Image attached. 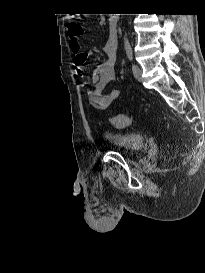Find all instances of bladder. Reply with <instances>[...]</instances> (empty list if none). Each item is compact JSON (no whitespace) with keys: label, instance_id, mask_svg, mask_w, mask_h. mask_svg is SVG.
I'll return each instance as SVG.
<instances>
[{"label":"bladder","instance_id":"obj_1","mask_svg":"<svg viewBox=\"0 0 205 273\" xmlns=\"http://www.w3.org/2000/svg\"><path fill=\"white\" fill-rule=\"evenodd\" d=\"M105 139L110 146L129 154H138L145 146L144 138L133 133L110 132L105 135Z\"/></svg>","mask_w":205,"mask_h":273}]
</instances>
